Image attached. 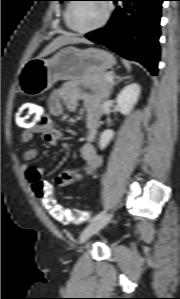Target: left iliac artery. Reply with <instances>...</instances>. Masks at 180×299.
<instances>
[{
    "instance_id": "obj_1",
    "label": "left iliac artery",
    "mask_w": 180,
    "mask_h": 299,
    "mask_svg": "<svg viewBox=\"0 0 180 299\" xmlns=\"http://www.w3.org/2000/svg\"><path fill=\"white\" fill-rule=\"evenodd\" d=\"M105 214H106V211H105V210H104V211H101L100 213H98L97 215H95V216L90 220V222H93V221H95V220L101 218V217L104 216Z\"/></svg>"
}]
</instances>
